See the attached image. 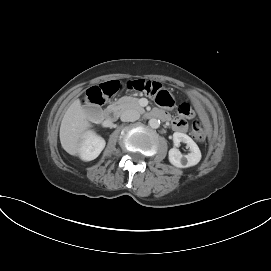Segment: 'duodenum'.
Segmentation results:
<instances>
[{
    "instance_id": "1",
    "label": "duodenum",
    "mask_w": 271,
    "mask_h": 271,
    "mask_svg": "<svg viewBox=\"0 0 271 271\" xmlns=\"http://www.w3.org/2000/svg\"><path fill=\"white\" fill-rule=\"evenodd\" d=\"M117 114V108L115 106H109L103 111L101 115L102 121L107 125H111L116 120ZM149 116L167 119V115L161 111H153L149 114Z\"/></svg>"
}]
</instances>
